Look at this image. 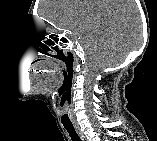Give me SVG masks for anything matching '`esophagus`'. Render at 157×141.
Returning a JSON list of instances; mask_svg holds the SVG:
<instances>
[{
	"label": "esophagus",
	"mask_w": 157,
	"mask_h": 141,
	"mask_svg": "<svg viewBox=\"0 0 157 141\" xmlns=\"http://www.w3.org/2000/svg\"><path fill=\"white\" fill-rule=\"evenodd\" d=\"M75 129H76V131H77V133H78L80 139H81L82 141H85L86 138H85L84 134L82 133V131L80 130V128H79L78 126H76Z\"/></svg>",
	"instance_id": "esophagus-1"
}]
</instances>
